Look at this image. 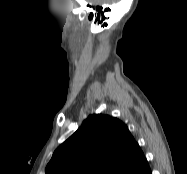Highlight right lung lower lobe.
Segmentation results:
<instances>
[{"label": "right lung lower lobe", "instance_id": "right-lung-lower-lobe-1", "mask_svg": "<svg viewBox=\"0 0 187 174\" xmlns=\"http://www.w3.org/2000/svg\"><path fill=\"white\" fill-rule=\"evenodd\" d=\"M144 174H151V171H149V172H146V173H144Z\"/></svg>", "mask_w": 187, "mask_h": 174}]
</instances>
